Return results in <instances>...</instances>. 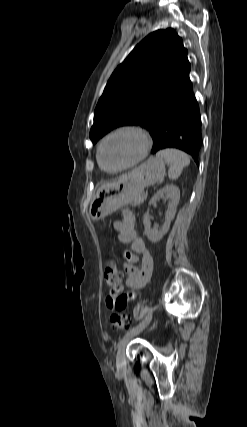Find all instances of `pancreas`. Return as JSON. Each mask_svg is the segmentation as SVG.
I'll return each mask as SVG.
<instances>
[{"label": "pancreas", "instance_id": "1", "mask_svg": "<svg viewBox=\"0 0 247 427\" xmlns=\"http://www.w3.org/2000/svg\"><path fill=\"white\" fill-rule=\"evenodd\" d=\"M147 194H142L138 199H136L132 205L133 206H139L141 203L144 202V200L146 199Z\"/></svg>", "mask_w": 247, "mask_h": 427}]
</instances>
